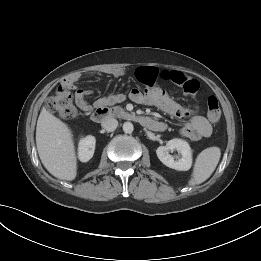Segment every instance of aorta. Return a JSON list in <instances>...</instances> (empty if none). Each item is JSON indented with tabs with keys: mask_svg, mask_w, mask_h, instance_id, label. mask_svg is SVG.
I'll use <instances>...</instances> for the list:
<instances>
[{
	"mask_svg": "<svg viewBox=\"0 0 261 261\" xmlns=\"http://www.w3.org/2000/svg\"><path fill=\"white\" fill-rule=\"evenodd\" d=\"M133 130H134V126H133V124H132L131 122H125V123L123 124V131H124L125 133L130 134V133L133 132Z\"/></svg>",
	"mask_w": 261,
	"mask_h": 261,
	"instance_id": "obj_1",
	"label": "aorta"
}]
</instances>
